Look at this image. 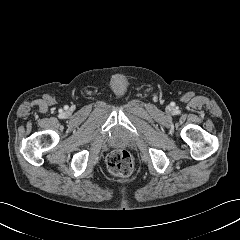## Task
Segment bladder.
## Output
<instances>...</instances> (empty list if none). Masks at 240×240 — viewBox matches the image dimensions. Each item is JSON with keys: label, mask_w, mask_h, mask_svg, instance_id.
<instances>
[{"label": "bladder", "mask_w": 240, "mask_h": 240, "mask_svg": "<svg viewBox=\"0 0 240 240\" xmlns=\"http://www.w3.org/2000/svg\"><path fill=\"white\" fill-rule=\"evenodd\" d=\"M122 140V137L121 136H118L117 137V141H121Z\"/></svg>", "instance_id": "obj_1"}]
</instances>
